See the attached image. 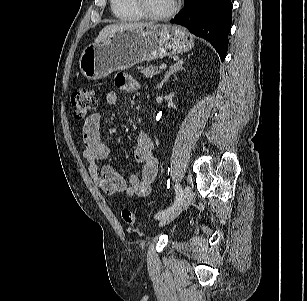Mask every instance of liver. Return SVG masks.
<instances>
[{"instance_id":"obj_1","label":"liver","mask_w":307,"mask_h":301,"mask_svg":"<svg viewBox=\"0 0 307 301\" xmlns=\"http://www.w3.org/2000/svg\"><path fill=\"white\" fill-rule=\"evenodd\" d=\"M152 23H120L112 24L104 27L96 38V42H101L105 40L109 35L113 34L116 31L127 30V29H140L143 27L151 26Z\"/></svg>"}]
</instances>
